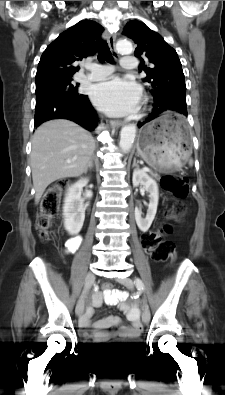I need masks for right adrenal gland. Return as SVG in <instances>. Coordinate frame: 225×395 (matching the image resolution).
Listing matches in <instances>:
<instances>
[{
    "label": "right adrenal gland",
    "instance_id": "2a0ac1e0",
    "mask_svg": "<svg viewBox=\"0 0 225 395\" xmlns=\"http://www.w3.org/2000/svg\"><path fill=\"white\" fill-rule=\"evenodd\" d=\"M93 160H94V158L91 157V158H90V161H89V163H88V166H87V168H86L85 173L87 172L88 168H89V169L93 168V165H94V164H93Z\"/></svg>",
    "mask_w": 225,
    "mask_h": 395
}]
</instances>
